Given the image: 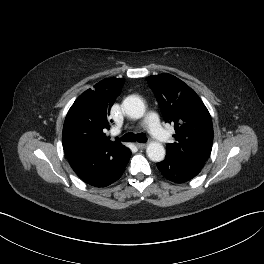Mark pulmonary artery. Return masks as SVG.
Masks as SVG:
<instances>
[{"label": "pulmonary artery", "instance_id": "pulmonary-artery-1", "mask_svg": "<svg viewBox=\"0 0 264 264\" xmlns=\"http://www.w3.org/2000/svg\"><path fill=\"white\" fill-rule=\"evenodd\" d=\"M145 124L148 127L151 135L161 143H165L167 140V134L159 123V118L156 113L150 112L146 116Z\"/></svg>", "mask_w": 264, "mask_h": 264}]
</instances>
